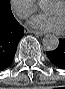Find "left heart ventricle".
<instances>
[{"label": "left heart ventricle", "instance_id": "b2bd125f", "mask_svg": "<svg viewBox=\"0 0 65 89\" xmlns=\"http://www.w3.org/2000/svg\"><path fill=\"white\" fill-rule=\"evenodd\" d=\"M47 13L50 15L60 17L65 23V7L60 3H53L46 8Z\"/></svg>", "mask_w": 65, "mask_h": 89}]
</instances>
